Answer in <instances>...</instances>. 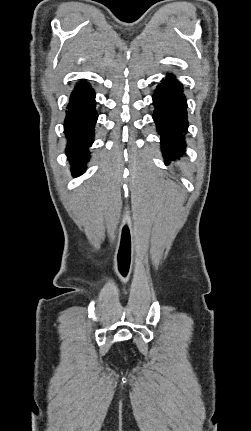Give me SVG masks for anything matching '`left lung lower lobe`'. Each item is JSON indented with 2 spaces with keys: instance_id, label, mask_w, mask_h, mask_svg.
Masks as SVG:
<instances>
[{
  "instance_id": "0a47b994",
  "label": "left lung lower lobe",
  "mask_w": 251,
  "mask_h": 431,
  "mask_svg": "<svg viewBox=\"0 0 251 431\" xmlns=\"http://www.w3.org/2000/svg\"><path fill=\"white\" fill-rule=\"evenodd\" d=\"M155 111L153 119L160 135L165 162L185 150V134L188 129L187 101L183 86L171 74H167L153 95Z\"/></svg>"
}]
</instances>
